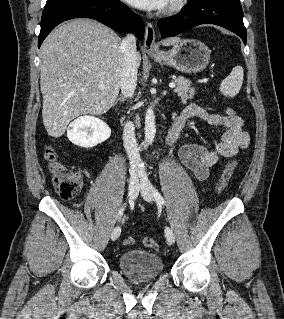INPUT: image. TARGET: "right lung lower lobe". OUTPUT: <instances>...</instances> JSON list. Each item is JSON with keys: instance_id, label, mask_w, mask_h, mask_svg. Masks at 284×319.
Returning a JSON list of instances; mask_svg holds the SVG:
<instances>
[{"instance_id": "obj_1", "label": "right lung lower lobe", "mask_w": 284, "mask_h": 319, "mask_svg": "<svg viewBox=\"0 0 284 319\" xmlns=\"http://www.w3.org/2000/svg\"><path fill=\"white\" fill-rule=\"evenodd\" d=\"M80 17L95 19L116 31H133L139 39L144 37L141 18L118 0H58L45 5L38 47L55 26Z\"/></svg>"}]
</instances>
